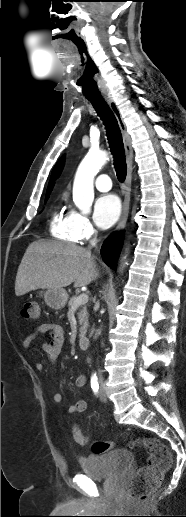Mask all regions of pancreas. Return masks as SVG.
<instances>
[{"mask_svg": "<svg viewBox=\"0 0 186 517\" xmlns=\"http://www.w3.org/2000/svg\"><path fill=\"white\" fill-rule=\"evenodd\" d=\"M76 299H77V296H73L70 298V300L68 302L69 308L74 307V302ZM77 315H78V319H79V324L81 326L79 329V332H80L79 336L84 337L86 334V331H87V327H88V313H87V306L85 304L80 305L79 312Z\"/></svg>", "mask_w": 186, "mask_h": 517, "instance_id": "cf45deb5", "label": "pancreas"}]
</instances>
